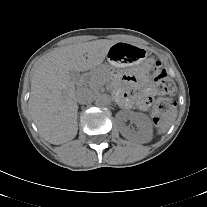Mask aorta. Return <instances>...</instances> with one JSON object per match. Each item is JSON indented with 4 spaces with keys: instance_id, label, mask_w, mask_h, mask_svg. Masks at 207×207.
<instances>
[{
    "instance_id": "1",
    "label": "aorta",
    "mask_w": 207,
    "mask_h": 207,
    "mask_svg": "<svg viewBox=\"0 0 207 207\" xmlns=\"http://www.w3.org/2000/svg\"><path fill=\"white\" fill-rule=\"evenodd\" d=\"M107 102H108L107 97L104 95L98 96L95 100V104L99 107L106 106Z\"/></svg>"
}]
</instances>
